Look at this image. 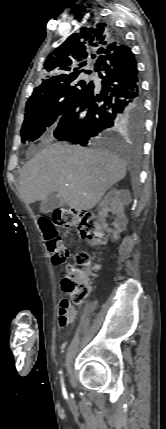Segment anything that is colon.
I'll return each instance as SVG.
<instances>
[{
	"mask_svg": "<svg viewBox=\"0 0 166 429\" xmlns=\"http://www.w3.org/2000/svg\"><path fill=\"white\" fill-rule=\"evenodd\" d=\"M40 227L47 242L48 250L54 264H62L69 258V250L60 237L56 227L76 228L82 239L97 245L106 241L98 217L89 211L70 208L57 209L52 219L42 218ZM81 268L71 269L62 280V289L70 297L74 305L81 304L89 294L88 275L98 268L92 266L90 257L85 252H79L75 257Z\"/></svg>",
	"mask_w": 166,
	"mask_h": 429,
	"instance_id": "colon-1",
	"label": "colon"
}]
</instances>
